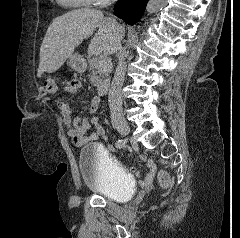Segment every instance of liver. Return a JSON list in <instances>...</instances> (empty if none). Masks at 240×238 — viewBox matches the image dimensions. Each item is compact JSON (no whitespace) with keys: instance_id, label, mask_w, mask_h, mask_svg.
Instances as JSON below:
<instances>
[{"instance_id":"6515ba94","label":"liver","mask_w":240,"mask_h":238,"mask_svg":"<svg viewBox=\"0 0 240 238\" xmlns=\"http://www.w3.org/2000/svg\"><path fill=\"white\" fill-rule=\"evenodd\" d=\"M96 28L98 31L91 40L89 52H103L105 55L116 53L120 49L125 28L112 18L104 17L102 11L77 9L55 18L41 44L38 77L45 72L57 71Z\"/></svg>"}]
</instances>
